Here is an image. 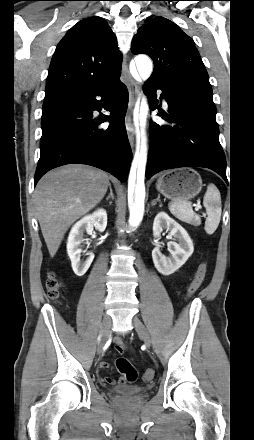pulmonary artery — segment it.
<instances>
[{
  "mask_svg": "<svg viewBox=\"0 0 254 440\" xmlns=\"http://www.w3.org/2000/svg\"><path fill=\"white\" fill-rule=\"evenodd\" d=\"M162 102H163L164 107L167 108V107H168V104H167L166 100H165V99H162Z\"/></svg>",
  "mask_w": 254,
  "mask_h": 440,
  "instance_id": "1",
  "label": "pulmonary artery"
}]
</instances>
